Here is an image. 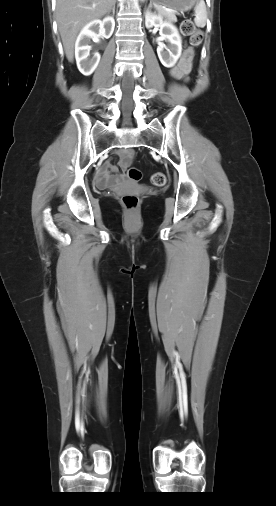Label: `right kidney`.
Returning <instances> with one entry per match:
<instances>
[{
	"label": "right kidney",
	"mask_w": 276,
	"mask_h": 506,
	"mask_svg": "<svg viewBox=\"0 0 276 506\" xmlns=\"http://www.w3.org/2000/svg\"><path fill=\"white\" fill-rule=\"evenodd\" d=\"M114 27V18L107 16L103 20H93L82 28L75 43L77 67L82 74H92L100 61L99 53H94V56L90 58L91 46L89 44L91 40H97L99 37H111Z\"/></svg>",
	"instance_id": "ca27d5eb"
}]
</instances>
